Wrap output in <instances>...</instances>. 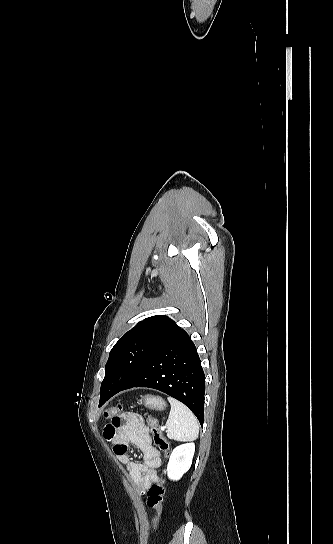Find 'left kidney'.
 I'll return each mask as SVG.
<instances>
[{
    "label": "left kidney",
    "mask_w": 333,
    "mask_h": 544,
    "mask_svg": "<svg viewBox=\"0 0 333 544\" xmlns=\"http://www.w3.org/2000/svg\"><path fill=\"white\" fill-rule=\"evenodd\" d=\"M194 451V443H184L173 449L167 465L169 479L179 480L189 470Z\"/></svg>",
    "instance_id": "left-kidney-1"
}]
</instances>
